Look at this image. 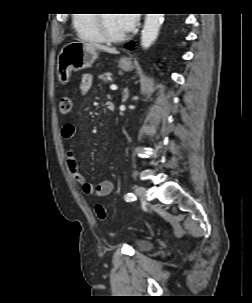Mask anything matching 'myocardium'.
Here are the masks:
<instances>
[{
    "label": "myocardium",
    "instance_id": "obj_1",
    "mask_svg": "<svg viewBox=\"0 0 252 303\" xmlns=\"http://www.w3.org/2000/svg\"><path fill=\"white\" fill-rule=\"evenodd\" d=\"M98 17V24L101 30V33L104 37V40L109 42H121L128 37V33L114 35L111 34L105 27V14H97Z\"/></svg>",
    "mask_w": 252,
    "mask_h": 303
}]
</instances>
